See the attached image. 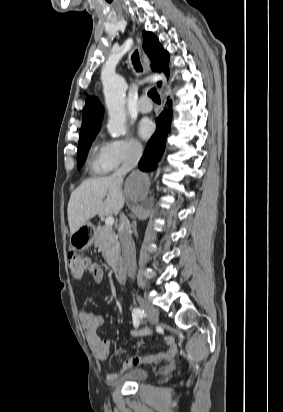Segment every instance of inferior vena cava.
Segmentation results:
<instances>
[{"label": "inferior vena cava", "mask_w": 283, "mask_h": 412, "mask_svg": "<svg viewBox=\"0 0 283 412\" xmlns=\"http://www.w3.org/2000/svg\"><path fill=\"white\" fill-rule=\"evenodd\" d=\"M142 155L141 146H133L121 167L113 174V177L123 181V177L134 167L137 166ZM118 234L122 246V254L124 260V267L131 279H134L136 272V250L131 237V227L128 218L124 213L120 214V224Z\"/></svg>", "instance_id": "1"}]
</instances>
